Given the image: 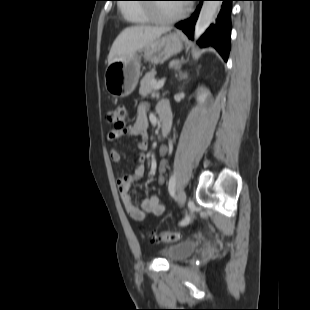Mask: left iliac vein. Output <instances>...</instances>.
I'll use <instances>...</instances> for the list:
<instances>
[{"label": "left iliac vein", "instance_id": "left-iliac-vein-1", "mask_svg": "<svg viewBox=\"0 0 310 310\" xmlns=\"http://www.w3.org/2000/svg\"><path fill=\"white\" fill-rule=\"evenodd\" d=\"M178 203L180 206H183L186 202V193L183 189H180L178 192Z\"/></svg>", "mask_w": 310, "mask_h": 310}]
</instances>
